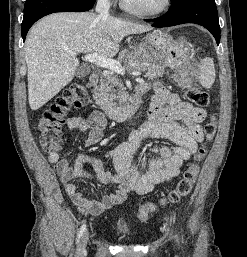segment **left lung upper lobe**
<instances>
[{
    "instance_id": "5c2ea615",
    "label": "left lung upper lobe",
    "mask_w": 247,
    "mask_h": 257,
    "mask_svg": "<svg viewBox=\"0 0 247 257\" xmlns=\"http://www.w3.org/2000/svg\"><path fill=\"white\" fill-rule=\"evenodd\" d=\"M175 1H177V0H171V3H172V2H175Z\"/></svg>"
}]
</instances>
